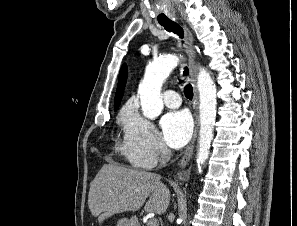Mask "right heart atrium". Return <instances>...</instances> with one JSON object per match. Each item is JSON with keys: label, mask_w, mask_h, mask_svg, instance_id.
<instances>
[{"label": "right heart atrium", "mask_w": 297, "mask_h": 226, "mask_svg": "<svg viewBox=\"0 0 297 226\" xmlns=\"http://www.w3.org/2000/svg\"><path fill=\"white\" fill-rule=\"evenodd\" d=\"M123 126L120 151L133 166L153 169L169 158L170 151L154 124L135 108L125 112Z\"/></svg>", "instance_id": "right-heart-atrium-1"}]
</instances>
